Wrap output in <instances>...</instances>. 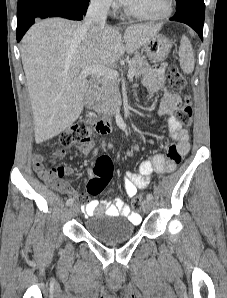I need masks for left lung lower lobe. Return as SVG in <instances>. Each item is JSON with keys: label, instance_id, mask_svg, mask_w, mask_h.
<instances>
[{"label": "left lung lower lobe", "instance_id": "1", "mask_svg": "<svg viewBox=\"0 0 227 298\" xmlns=\"http://www.w3.org/2000/svg\"><path fill=\"white\" fill-rule=\"evenodd\" d=\"M205 9L196 4H188L183 8H177L176 14L170 20L185 23L193 28L203 40V24Z\"/></svg>", "mask_w": 227, "mask_h": 298}]
</instances>
